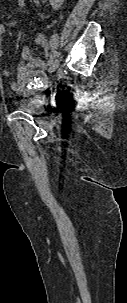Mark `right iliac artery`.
<instances>
[{"instance_id":"obj_1","label":"right iliac artery","mask_w":127,"mask_h":303,"mask_svg":"<svg viewBox=\"0 0 127 303\" xmlns=\"http://www.w3.org/2000/svg\"><path fill=\"white\" fill-rule=\"evenodd\" d=\"M56 56H57V52L55 51V49H52L50 52V60L48 62L49 65L53 62Z\"/></svg>"}]
</instances>
